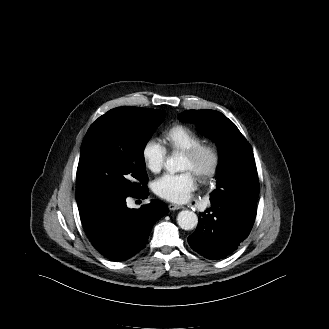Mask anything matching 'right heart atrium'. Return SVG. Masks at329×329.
Listing matches in <instances>:
<instances>
[{"instance_id": "d8ad5b80", "label": "right heart atrium", "mask_w": 329, "mask_h": 329, "mask_svg": "<svg viewBox=\"0 0 329 329\" xmlns=\"http://www.w3.org/2000/svg\"><path fill=\"white\" fill-rule=\"evenodd\" d=\"M141 158L148 170L157 173L165 165L167 149L159 140L149 138L142 146Z\"/></svg>"}]
</instances>
